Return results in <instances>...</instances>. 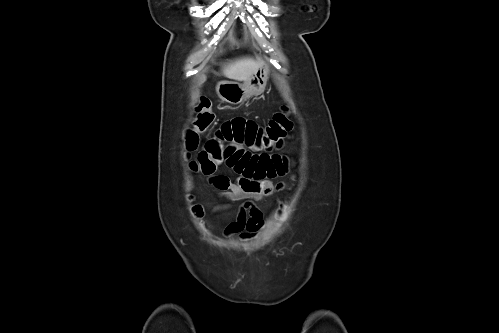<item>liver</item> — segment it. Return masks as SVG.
<instances>
[{
	"label": "liver",
	"mask_w": 499,
	"mask_h": 333,
	"mask_svg": "<svg viewBox=\"0 0 499 333\" xmlns=\"http://www.w3.org/2000/svg\"><path fill=\"white\" fill-rule=\"evenodd\" d=\"M264 64V61L260 58H241L225 64L222 68V74L229 79L246 81ZM202 81H205V77Z\"/></svg>",
	"instance_id": "liver-1"
}]
</instances>
